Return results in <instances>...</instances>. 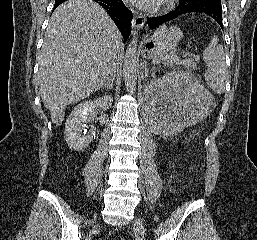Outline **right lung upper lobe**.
Here are the masks:
<instances>
[{
	"label": "right lung upper lobe",
	"mask_w": 257,
	"mask_h": 240,
	"mask_svg": "<svg viewBox=\"0 0 257 240\" xmlns=\"http://www.w3.org/2000/svg\"><path fill=\"white\" fill-rule=\"evenodd\" d=\"M66 0H55V5H60L61 3H63Z\"/></svg>",
	"instance_id": "obj_1"
}]
</instances>
